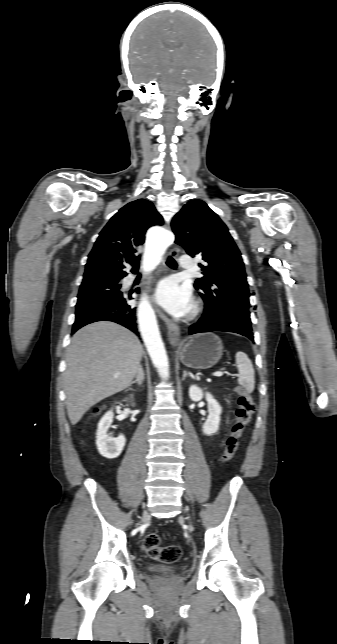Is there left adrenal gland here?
I'll return each mask as SVG.
<instances>
[{
  "instance_id": "a2214340",
  "label": "left adrenal gland",
  "mask_w": 337,
  "mask_h": 644,
  "mask_svg": "<svg viewBox=\"0 0 337 644\" xmlns=\"http://www.w3.org/2000/svg\"><path fill=\"white\" fill-rule=\"evenodd\" d=\"M187 376L191 377V375L184 370L182 380L184 381Z\"/></svg>"
}]
</instances>
